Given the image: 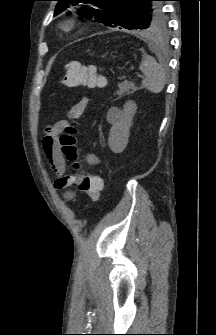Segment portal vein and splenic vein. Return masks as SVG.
Returning a JSON list of instances; mask_svg holds the SVG:
<instances>
[{
    "mask_svg": "<svg viewBox=\"0 0 216 335\" xmlns=\"http://www.w3.org/2000/svg\"><path fill=\"white\" fill-rule=\"evenodd\" d=\"M137 77L138 78H143V75L138 74Z\"/></svg>",
    "mask_w": 216,
    "mask_h": 335,
    "instance_id": "obj_1",
    "label": "portal vein and splenic vein"
}]
</instances>
